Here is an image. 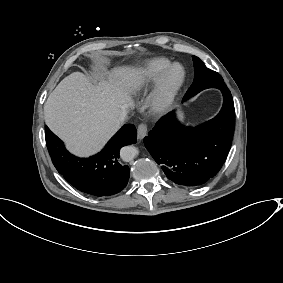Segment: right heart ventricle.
<instances>
[{
  "label": "right heart ventricle",
  "mask_w": 283,
  "mask_h": 283,
  "mask_svg": "<svg viewBox=\"0 0 283 283\" xmlns=\"http://www.w3.org/2000/svg\"><path fill=\"white\" fill-rule=\"evenodd\" d=\"M170 63L171 61L166 57H155L148 60L130 75L127 81L128 90L133 94L143 93Z\"/></svg>",
  "instance_id": "right-heart-ventricle-1"
}]
</instances>
